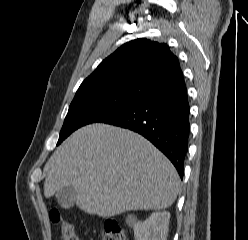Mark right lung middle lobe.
<instances>
[{
	"label": "right lung middle lobe",
	"instance_id": "dd1d6c3e",
	"mask_svg": "<svg viewBox=\"0 0 248 240\" xmlns=\"http://www.w3.org/2000/svg\"><path fill=\"white\" fill-rule=\"evenodd\" d=\"M140 99L109 88L78 89L62 126L59 145L73 131L98 122Z\"/></svg>",
	"mask_w": 248,
	"mask_h": 240
}]
</instances>
